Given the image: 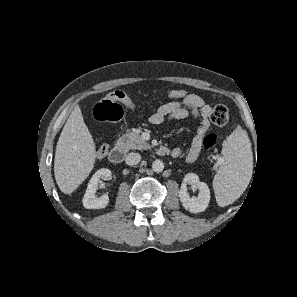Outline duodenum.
<instances>
[{"instance_id": "1", "label": "duodenum", "mask_w": 297, "mask_h": 297, "mask_svg": "<svg viewBox=\"0 0 297 297\" xmlns=\"http://www.w3.org/2000/svg\"><path fill=\"white\" fill-rule=\"evenodd\" d=\"M157 153L161 156L168 155L171 153L169 148L165 146H160L157 148ZM126 155V149L123 145H116L114 146L110 153H109V159L113 163H120L124 160Z\"/></svg>"}]
</instances>
